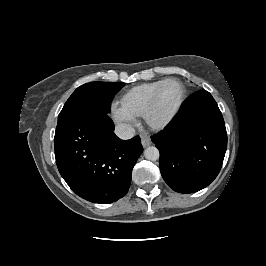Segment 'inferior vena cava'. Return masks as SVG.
<instances>
[{"label": "inferior vena cava", "instance_id": "1", "mask_svg": "<svg viewBox=\"0 0 266 266\" xmlns=\"http://www.w3.org/2000/svg\"><path fill=\"white\" fill-rule=\"evenodd\" d=\"M115 134L122 140H128L135 136V129L128 124H118L115 127Z\"/></svg>", "mask_w": 266, "mask_h": 266}]
</instances>
